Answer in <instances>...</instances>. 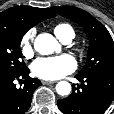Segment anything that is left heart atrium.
Returning a JSON list of instances; mask_svg holds the SVG:
<instances>
[{
	"mask_svg": "<svg viewBox=\"0 0 114 114\" xmlns=\"http://www.w3.org/2000/svg\"><path fill=\"white\" fill-rule=\"evenodd\" d=\"M76 66V61L71 55L63 54L38 58L32 63L31 70L41 79L56 80L72 73Z\"/></svg>",
	"mask_w": 114,
	"mask_h": 114,
	"instance_id": "left-heart-atrium-1",
	"label": "left heart atrium"
}]
</instances>
